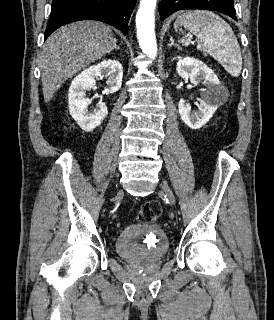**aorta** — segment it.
Instances as JSON below:
<instances>
[{"instance_id": "obj_1", "label": "aorta", "mask_w": 274, "mask_h": 320, "mask_svg": "<svg viewBox=\"0 0 274 320\" xmlns=\"http://www.w3.org/2000/svg\"><path fill=\"white\" fill-rule=\"evenodd\" d=\"M157 0H141L136 14L137 39L142 52L150 58L157 54L154 11Z\"/></svg>"}]
</instances>
